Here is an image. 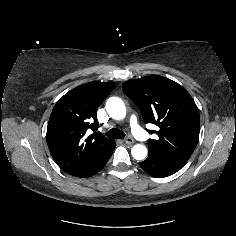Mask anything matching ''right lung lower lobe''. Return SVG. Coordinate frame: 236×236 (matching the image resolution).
Segmentation results:
<instances>
[{
    "label": "right lung lower lobe",
    "instance_id": "98d812e1",
    "mask_svg": "<svg viewBox=\"0 0 236 236\" xmlns=\"http://www.w3.org/2000/svg\"><path fill=\"white\" fill-rule=\"evenodd\" d=\"M115 148V145L112 149H110L107 153H105L103 156H101L98 161L83 175L79 176L80 178H87L95 173H97L99 170H101L104 165L107 163L108 159L112 155V152Z\"/></svg>",
    "mask_w": 236,
    "mask_h": 236
}]
</instances>
